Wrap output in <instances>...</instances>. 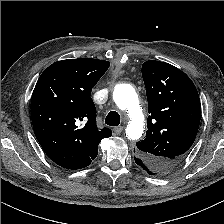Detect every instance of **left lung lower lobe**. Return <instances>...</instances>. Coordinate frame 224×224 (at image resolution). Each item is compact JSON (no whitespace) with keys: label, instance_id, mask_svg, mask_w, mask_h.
I'll return each mask as SVG.
<instances>
[{"label":"left lung lower lobe","instance_id":"left-lung-lower-lobe-1","mask_svg":"<svg viewBox=\"0 0 224 224\" xmlns=\"http://www.w3.org/2000/svg\"><path fill=\"white\" fill-rule=\"evenodd\" d=\"M135 162L137 165H139V167L141 168V170L147 172L150 175H153V172L150 170V168L148 167V165H146L145 163H143V161L139 158H134Z\"/></svg>","mask_w":224,"mask_h":224}]
</instances>
